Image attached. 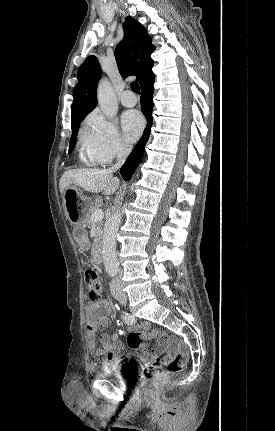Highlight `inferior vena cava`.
Wrapping results in <instances>:
<instances>
[{
    "instance_id": "obj_1",
    "label": "inferior vena cava",
    "mask_w": 275,
    "mask_h": 431,
    "mask_svg": "<svg viewBox=\"0 0 275 431\" xmlns=\"http://www.w3.org/2000/svg\"><path fill=\"white\" fill-rule=\"evenodd\" d=\"M131 152V146L122 144L117 154V162L111 167L110 171L118 170L125 162L126 158ZM110 289L112 292L121 290V282L119 277H114L110 283Z\"/></svg>"
}]
</instances>
